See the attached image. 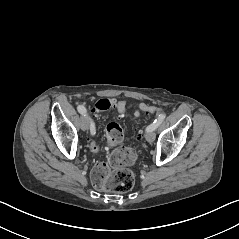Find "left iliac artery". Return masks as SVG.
Here are the masks:
<instances>
[{
  "instance_id": "1",
  "label": "left iliac artery",
  "mask_w": 239,
  "mask_h": 239,
  "mask_svg": "<svg viewBox=\"0 0 239 239\" xmlns=\"http://www.w3.org/2000/svg\"><path fill=\"white\" fill-rule=\"evenodd\" d=\"M165 117H166L165 113L160 114L157 117V119L146 128V131L149 132V131H154L155 129H157L158 126L164 121Z\"/></svg>"
}]
</instances>
